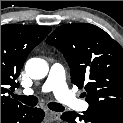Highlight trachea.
I'll list each match as a JSON object with an SVG mask.
<instances>
[{
    "label": "trachea",
    "mask_w": 123,
    "mask_h": 123,
    "mask_svg": "<svg viewBox=\"0 0 123 123\" xmlns=\"http://www.w3.org/2000/svg\"><path fill=\"white\" fill-rule=\"evenodd\" d=\"M13 97L15 99L20 100L22 103H24L28 106H32V107L36 106L38 103V99L35 96L13 95ZM48 108L53 111H57V112H61L64 110V106H62L60 103H56V102L48 103Z\"/></svg>",
    "instance_id": "obj_1"
}]
</instances>
